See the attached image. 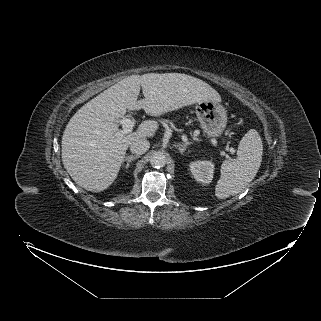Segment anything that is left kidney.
Listing matches in <instances>:
<instances>
[{"label":"left kidney","mask_w":321,"mask_h":321,"mask_svg":"<svg viewBox=\"0 0 321 321\" xmlns=\"http://www.w3.org/2000/svg\"><path fill=\"white\" fill-rule=\"evenodd\" d=\"M190 171L197 181L209 184L213 179L214 163L207 160L193 161L190 163Z\"/></svg>","instance_id":"obj_1"}]
</instances>
